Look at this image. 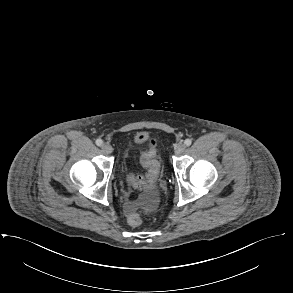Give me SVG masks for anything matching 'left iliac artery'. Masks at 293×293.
<instances>
[{
  "label": "left iliac artery",
  "instance_id": "left-iliac-artery-1",
  "mask_svg": "<svg viewBox=\"0 0 293 293\" xmlns=\"http://www.w3.org/2000/svg\"><path fill=\"white\" fill-rule=\"evenodd\" d=\"M191 143H192V140L191 139H186L185 141H184V144L186 145V146H190L191 145Z\"/></svg>",
  "mask_w": 293,
  "mask_h": 293
}]
</instances>
